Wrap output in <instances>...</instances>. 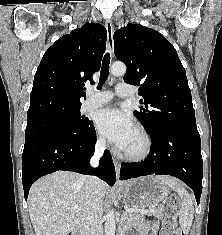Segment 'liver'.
I'll return each instance as SVG.
<instances>
[{
    "label": "liver",
    "mask_w": 222,
    "mask_h": 235,
    "mask_svg": "<svg viewBox=\"0 0 222 235\" xmlns=\"http://www.w3.org/2000/svg\"><path fill=\"white\" fill-rule=\"evenodd\" d=\"M86 181L84 175L58 171L32 185L28 211L36 235H68L81 224ZM101 190L107 192L103 181Z\"/></svg>",
    "instance_id": "obj_1"
}]
</instances>
